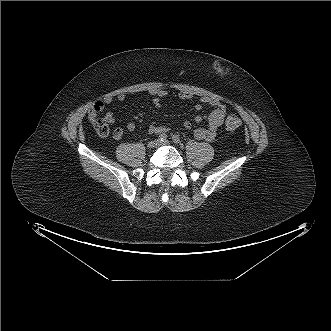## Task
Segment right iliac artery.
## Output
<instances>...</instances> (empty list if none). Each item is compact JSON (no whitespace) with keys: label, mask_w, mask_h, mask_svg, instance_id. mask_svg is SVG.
<instances>
[{"label":"right iliac artery","mask_w":331,"mask_h":331,"mask_svg":"<svg viewBox=\"0 0 331 331\" xmlns=\"http://www.w3.org/2000/svg\"><path fill=\"white\" fill-rule=\"evenodd\" d=\"M167 140V135L166 134H161L159 137H158V141L160 142H164Z\"/></svg>","instance_id":"right-iliac-artery-1"}]
</instances>
